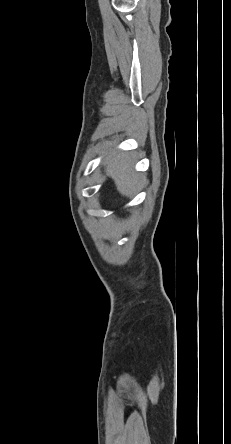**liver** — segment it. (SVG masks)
<instances>
[{"instance_id": "obj_1", "label": "liver", "mask_w": 231, "mask_h": 444, "mask_svg": "<svg viewBox=\"0 0 231 444\" xmlns=\"http://www.w3.org/2000/svg\"><path fill=\"white\" fill-rule=\"evenodd\" d=\"M107 174L114 180L118 192L131 197L139 188L142 176L133 172L134 160L128 153L110 154L105 162Z\"/></svg>"}]
</instances>
